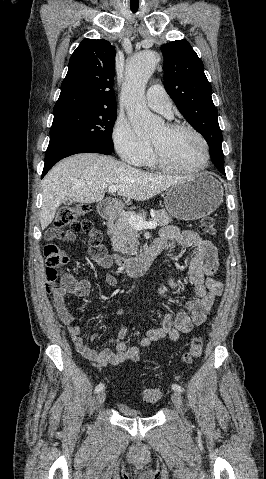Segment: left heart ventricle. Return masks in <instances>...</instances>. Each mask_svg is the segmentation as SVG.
<instances>
[{
    "instance_id": "1",
    "label": "left heart ventricle",
    "mask_w": 266,
    "mask_h": 479,
    "mask_svg": "<svg viewBox=\"0 0 266 479\" xmlns=\"http://www.w3.org/2000/svg\"><path fill=\"white\" fill-rule=\"evenodd\" d=\"M151 143L156 146L163 158L172 165L193 168L202 162V145L189 131H172L164 126L152 135Z\"/></svg>"
}]
</instances>
